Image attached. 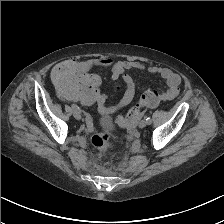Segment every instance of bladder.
<instances>
[{
	"mask_svg": "<svg viewBox=\"0 0 224 224\" xmlns=\"http://www.w3.org/2000/svg\"><path fill=\"white\" fill-rule=\"evenodd\" d=\"M100 126L104 129L112 128V120L109 113H104L99 119Z\"/></svg>",
	"mask_w": 224,
	"mask_h": 224,
	"instance_id": "31cf9c89",
	"label": "bladder"
}]
</instances>
